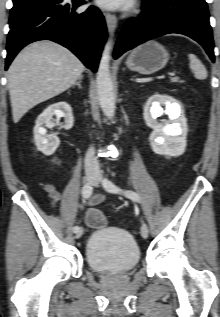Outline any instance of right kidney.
I'll use <instances>...</instances> for the list:
<instances>
[{
	"label": "right kidney",
	"instance_id": "1",
	"mask_svg": "<svg viewBox=\"0 0 220 317\" xmlns=\"http://www.w3.org/2000/svg\"><path fill=\"white\" fill-rule=\"evenodd\" d=\"M58 119H65L64 128L69 130L73 127L74 117L71 106L66 102H58L48 106L36 119V124L33 129L34 142L39 151L45 155H52L60 144L57 134H47L46 129L53 127V116Z\"/></svg>",
	"mask_w": 220,
	"mask_h": 317
}]
</instances>
